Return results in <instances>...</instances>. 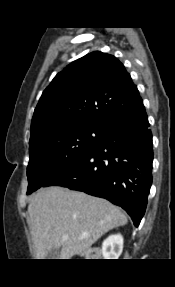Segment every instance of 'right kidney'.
<instances>
[{"label":"right kidney","mask_w":175,"mask_h":287,"mask_svg":"<svg viewBox=\"0 0 175 287\" xmlns=\"http://www.w3.org/2000/svg\"><path fill=\"white\" fill-rule=\"evenodd\" d=\"M123 250V237L121 234L109 236L102 244L104 259H118Z\"/></svg>","instance_id":"obj_1"}]
</instances>
